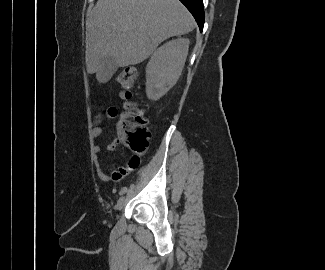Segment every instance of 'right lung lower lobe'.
Wrapping results in <instances>:
<instances>
[{
  "label": "right lung lower lobe",
  "instance_id": "98d812e1",
  "mask_svg": "<svg viewBox=\"0 0 325 270\" xmlns=\"http://www.w3.org/2000/svg\"><path fill=\"white\" fill-rule=\"evenodd\" d=\"M187 9L194 16L200 31L203 30L204 25V10H203V0H180Z\"/></svg>",
  "mask_w": 325,
  "mask_h": 270
}]
</instances>
